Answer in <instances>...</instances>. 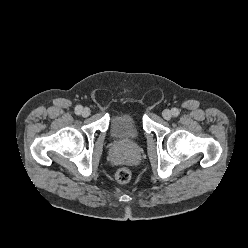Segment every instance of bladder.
I'll return each mask as SVG.
<instances>
[{
    "label": "bladder",
    "mask_w": 248,
    "mask_h": 248,
    "mask_svg": "<svg viewBox=\"0 0 248 248\" xmlns=\"http://www.w3.org/2000/svg\"><path fill=\"white\" fill-rule=\"evenodd\" d=\"M109 132L113 139L122 144H133L141 136L140 129L129 113H119L111 117Z\"/></svg>",
    "instance_id": "31cf9c89"
}]
</instances>
